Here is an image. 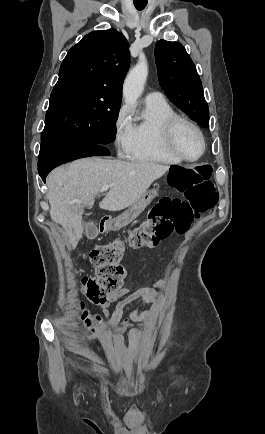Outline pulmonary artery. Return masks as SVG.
I'll return each mask as SVG.
<instances>
[{
  "mask_svg": "<svg viewBox=\"0 0 265 434\" xmlns=\"http://www.w3.org/2000/svg\"><path fill=\"white\" fill-rule=\"evenodd\" d=\"M162 96L161 91H150L147 93L145 100H147L148 103H160Z\"/></svg>",
  "mask_w": 265,
  "mask_h": 434,
  "instance_id": "obj_1",
  "label": "pulmonary artery"
}]
</instances>
